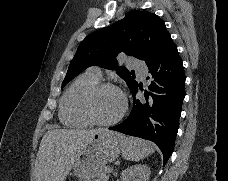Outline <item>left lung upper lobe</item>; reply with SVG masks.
<instances>
[{"label":"left lung upper lobe","instance_id":"obj_1","mask_svg":"<svg viewBox=\"0 0 228 181\" xmlns=\"http://www.w3.org/2000/svg\"><path fill=\"white\" fill-rule=\"evenodd\" d=\"M170 37L163 21L154 13L129 11L122 20L88 35L71 61L62 88L90 66L115 69L129 89L136 85L134 71L118 66L120 52L147 61Z\"/></svg>","mask_w":228,"mask_h":181}]
</instances>
